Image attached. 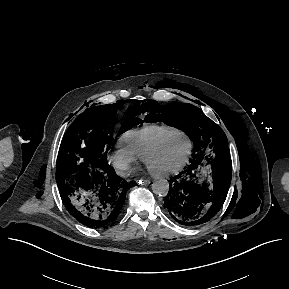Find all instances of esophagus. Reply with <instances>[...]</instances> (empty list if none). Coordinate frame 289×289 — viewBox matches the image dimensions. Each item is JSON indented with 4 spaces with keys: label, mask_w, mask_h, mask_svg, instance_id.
Returning <instances> with one entry per match:
<instances>
[{
    "label": "esophagus",
    "mask_w": 289,
    "mask_h": 289,
    "mask_svg": "<svg viewBox=\"0 0 289 289\" xmlns=\"http://www.w3.org/2000/svg\"><path fill=\"white\" fill-rule=\"evenodd\" d=\"M150 180L148 179H140L139 180V184H142V185H149L150 184Z\"/></svg>",
    "instance_id": "obj_1"
}]
</instances>
